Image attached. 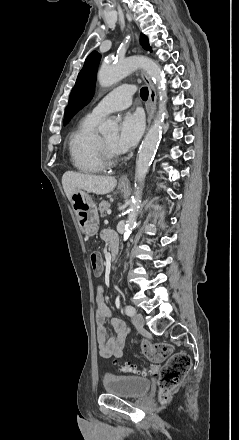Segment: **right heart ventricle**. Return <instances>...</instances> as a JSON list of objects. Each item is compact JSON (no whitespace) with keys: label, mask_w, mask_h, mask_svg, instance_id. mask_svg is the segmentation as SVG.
<instances>
[{"label":"right heart ventricle","mask_w":239,"mask_h":440,"mask_svg":"<svg viewBox=\"0 0 239 440\" xmlns=\"http://www.w3.org/2000/svg\"><path fill=\"white\" fill-rule=\"evenodd\" d=\"M97 121L87 115L69 135L70 162L76 170L82 173H101L106 167L98 147L99 137L94 130Z\"/></svg>","instance_id":"obj_1"}]
</instances>
